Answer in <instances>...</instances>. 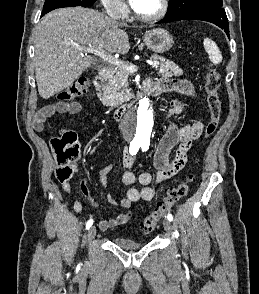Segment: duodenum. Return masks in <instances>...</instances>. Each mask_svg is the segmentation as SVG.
<instances>
[{"mask_svg": "<svg viewBox=\"0 0 259 294\" xmlns=\"http://www.w3.org/2000/svg\"><path fill=\"white\" fill-rule=\"evenodd\" d=\"M112 71V67L105 65L103 67H101L96 75V77L94 78V85L99 84L103 79H105L110 72ZM153 83L150 79H145L142 84L140 85V87L138 88V90L135 93V99H141L145 94L147 93H151L152 92V87ZM129 108V105H124L122 107H120L118 110L115 111V118L116 119H120L127 111V109Z\"/></svg>", "mask_w": 259, "mask_h": 294, "instance_id": "duodenum-1", "label": "duodenum"}]
</instances>
